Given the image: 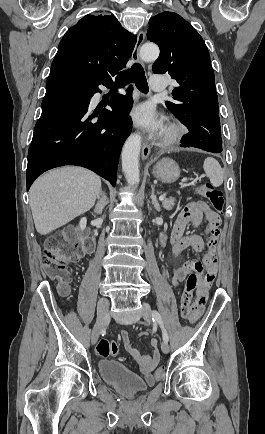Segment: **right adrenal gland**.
Segmentation results:
<instances>
[{
	"instance_id": "right-adrenal-gland-1",
	"label": "right adrenal gland",
	"mask_w": 265,
	"mask_h": 434,
	"mask_svg": "<svg viewBox=\"0 0 265 434\" xmlns=\"http://www.w3.org/2000/svg\"><path fill=\"white\" fill-rule=\"evenodd\" d=\"M100 196H102L103 200H106V196H105L104 192H100ZM107 202H109V200H107ZM107 202H106V204H107Z\"/></svg>"
}]
</instances>
